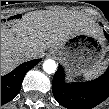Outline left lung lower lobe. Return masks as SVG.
Wrapping results in <instances>:
<instances>
[{"label":"left lung lower lobe","mask_w":109,"mask_h":109,"mask_svg":"<svg viewBox=\"0 0 109 109\" xmlns=\"http://www.w3.org/2000/svg\"><path fill=\"white\" fill-rule=\"evenodd\" d=\"M109 40V34L104 31ZM63 67L59 65L52 81V91L59 104L68 109H91L109 97V67L99 78L82 83H65Z\"/></svg>","instance_id":"1"}]
</instances>
